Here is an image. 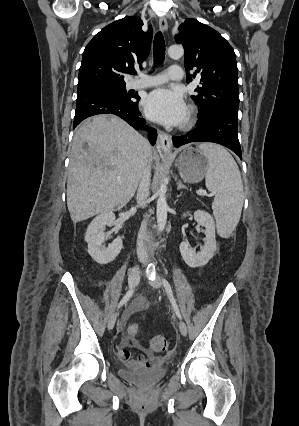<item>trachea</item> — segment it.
Segmentation results:
<instances>
[{
    "mask_svg": "<svg viewBox=\"0 0 299 426\" xmlns=\"http://www.w3.org/2000/svg\"><path fill=\"white\" fill-rule=\"evenodd\" d=\"M153 49L154 63H162L165 58V41L161 32H157L155 35ZM133 74H135V72H133Z\"/></svg>",
    "mask_w": 299,
    "mask_h": 426,
    "instance_id": "3493384b",
    "label": "trachea"
}]
</instances>
